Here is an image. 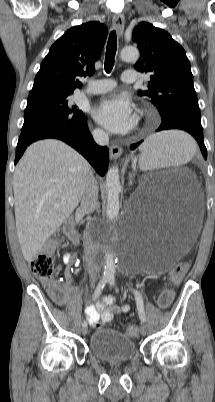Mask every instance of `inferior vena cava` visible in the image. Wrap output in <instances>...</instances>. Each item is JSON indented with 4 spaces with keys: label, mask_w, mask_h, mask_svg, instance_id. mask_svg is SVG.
<instances>
[{
    "label": "inferior vena cava",
    "mask_w": 215,
    "mask_h": 402,
    "mask_svg": "<svg viewBox=\"0 0 215 402\" xmlns=\"http://www.w3.org/2000/svg\"><path fill=\"white\" fill-rule=\"evenodd\" d=\"M93 136L95 141L99 145L102 146L107 145L109 142L108 133H106L103 130L95 131ZM97 199H98V186L97 182L94 179L93 174L91 173L85 185L79 210L85 214L92 213L96 208ZM84 251H85L86 266L90 280L95 281L98 276V265L96 262L97 247L87 231L84 232Z\"/></svg>",
    "instance_id": "602c4592"
}]
</instances>
